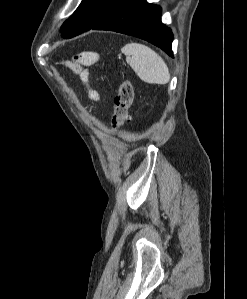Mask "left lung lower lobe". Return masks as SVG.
<instances>
[{"instance_id": "left-lung-lower-lobe-1", "label": "left lung lower lobe", "mask_w": 247, "mask_h": 299, "mask_svg": "<svg viewBox=\"0 0 247 299\" xmlns=\"http://www.w3.org/2000/svg\"><path fill=\"white\" fill-rule=\"evenodd\" d=\"M91 29L110 30L146 40L173 56V34L161 22V8L146 0H126Z\"/></svg>"}]
</instances>
